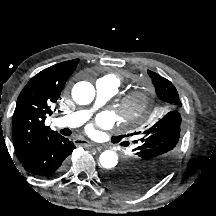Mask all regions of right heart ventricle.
Listing matches in <instances>:
<instances>
[{"label":"right heart ventricle","mask_w":216,"mask_h":216,"mask_svg":"<svg viewBox=\"0 0 216 216\" xmlns=\"http://www.w3.org/2000/svg\"><path fill=\"white\" fill-rule=\"evenodd\" d=\"M105 77H110V78L114 79L118 86L122 83V78L123 77H122L121 73H119V72L109 73Z\"/></svg>","instance_id":"e07e8e85"}]
</instances>
